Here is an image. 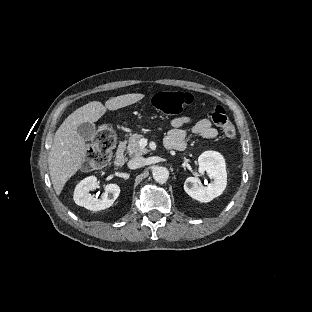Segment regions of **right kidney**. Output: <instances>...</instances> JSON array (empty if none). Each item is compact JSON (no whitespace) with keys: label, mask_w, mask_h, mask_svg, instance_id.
<instances>
[{"label":"right kidney","mask_w":312,"mask_h":312,"mask_svg":"<svg viewBox=\"0 0 312 312\" xmlns=\"http://www.w3.org/2000/svg\"><path fill=\"white\" fill-rule=\"evenodd\" d=\"M96 186V177L90 176L83 179L75 189V203L92 211L111 207L120 194V186L116 183L106 184L104 185V193L100 197H94L90 191Z\"/></svg>","instance_id":"ca27d5eb"}]
</instances>
